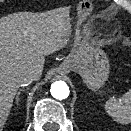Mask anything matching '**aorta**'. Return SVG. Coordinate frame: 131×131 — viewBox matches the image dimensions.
Segmentation results:
<instances>
[{
    "label": "aorta",
    "mask_w": 131,
    "mask_h": 131,
    "mask_svg": "<svg viewBox=\"0 0 131 131\" xmlns=\"http://www.w3.org/2000/svg\"><path fill=\"white\" fill-rule=\"evenodd\" d=\"M50 93L53 98L63 100L69 96L70 90L64 81H56L51 85Z\"/></svg>",
    "instance_id": "aorta-1"
}]
</instances>
